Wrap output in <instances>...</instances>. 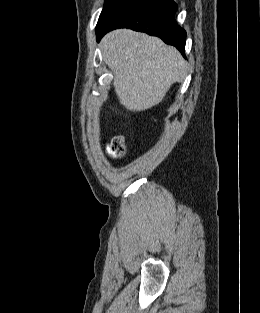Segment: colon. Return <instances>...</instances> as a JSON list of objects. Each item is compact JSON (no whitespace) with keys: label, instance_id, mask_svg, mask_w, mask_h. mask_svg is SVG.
Instances as JSON below:
<instances>
[{"label":"colon","instance_id":"5ec220e1","mask_svg":"<svg viewBox=\"0 0 260 313\" xmlns=\"http://www.w3.org/2000/svg\"><path fill=\"white\" fill-rule=\"evenodd\" d=\"M109 155L114 158H120L125 153V144L122 136H115L108 146Z\"/></svg>","mask_w":260,"mask_h":313}]
</instances>
